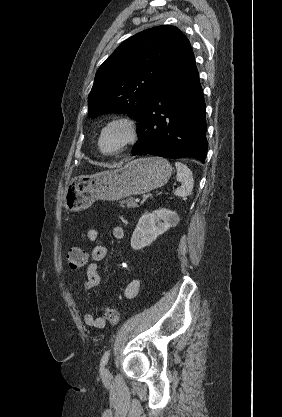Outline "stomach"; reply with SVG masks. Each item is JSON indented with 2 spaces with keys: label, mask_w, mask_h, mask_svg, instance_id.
Segmentation results:
<instances>
[{
  "label": "stomach",
  "mask_w": 282,
  "mask_h": 417,
  "mask_svg": "<svg viewBox=\"0 0 282 417\" xmlns=\"http://www.w3.org/2000/svg\"><path fill=\"white\" fill-rule=\"evenodd\" d=\"M171 174L172 166L162 156L135 158L120 168L74 178L66 188L64 206L77 213L88 209L94 200H120L131 194H144L166 184Z\"/></svg>",
  "instance_id": "0dacf381"
}]
</instances>
